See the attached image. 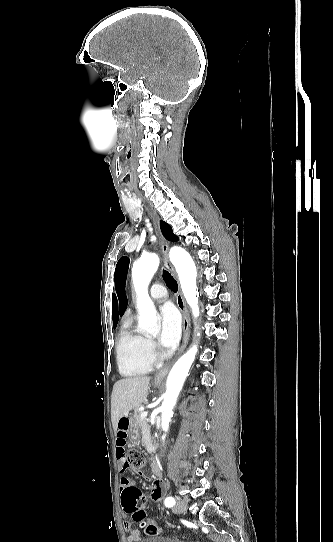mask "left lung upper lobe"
Returning a JSON list of instances; mask_svg holds the SVG:
<instances>
[{
	"label": "left lung upper lobe",
	"instance_id": "obj_1",
	"mask_svg": "<svg viewBox=\"0 0 333 542\" xmlns=\"http://www.w3.org/2000/svg\"><path fill=\"white\" fill-rule=\"evenodd\" d=\"M161 231L164 237L170 241H177L178 237L174 235L172 228L169 224L161 221ZM129 267V258L122 257L119 259L115 269V287L120 300V315L124 313L127 307V297L125 294V282Z\"/></svg>",
	"mask_w": 333,
	"mask_h": 542
}]
</instances>
